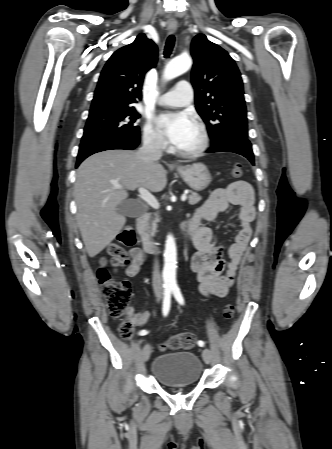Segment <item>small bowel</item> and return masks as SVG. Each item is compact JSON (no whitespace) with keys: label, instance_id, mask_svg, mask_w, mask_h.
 <instances>
[{"label":"small bowel","instance_id":"1","mask_svg":"<svg viewBox=\"0 0 332 449\" xmlns=\"http://www.w3.org/2000/svg\"><path fill=\"white\" fill-rule=\"evenodd\" d=\"M229 205L240 208L239 232L228 250V258L224 259L223 248L218 244L206 223L224 212ZM254 218L253 190L246 182L237 181L226 188L214 191L189 219L191 236L196 248V254L192 259V269L202 294L222 297L234 285L239 264L251 238V224ZM124 253L127 259L125 273L129 277H134L139 273L146 256L138 247H133L127 252L124 250ZM130 316L137 326L144 325L149 317L147 312L136 314L132 311Z\"/></svg>","mask_w":332,"mask_h":449}]
</instances>
